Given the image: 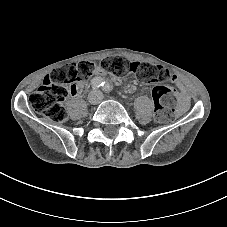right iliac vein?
Segmentation results:
<instances>
[{"label":"right iliac vein","instance_id":"1","mask_svg":"<svg viewBox=\"0 0 227 227\" xmlns=\"http://www.w3.org/2000/svg\"><path fill=\"white\" fill-rule=\"evenodd\" d=\"M88 101H89L91 104H96V103H98L97 98H96V94H95V93H92L91 96L88 97Z\"/></svg>","mask_w":227,"mask_h":227}]
</instances>
